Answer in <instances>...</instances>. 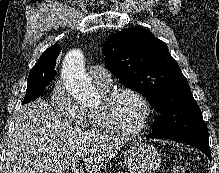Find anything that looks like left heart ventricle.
<instances>
[{
	"instance_id": "left-heart-ventricle-1",
	"label": "left heart ventricle",
	"mask_w": 219,
	"mask_h": 173,
	"mask_svg": "<svg viewBox=\"0 0 219 173\" xmlns=\"http://www.w3.org/2000/svg\"><path fill=\"white\" fill-rule=\"evenodd\" d=\"M109 111L114 123L127 131L139 127L144 115L141 102L128 93L119 95L111 103Z\"/></svg>"
}]
</instances>
